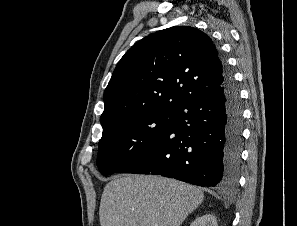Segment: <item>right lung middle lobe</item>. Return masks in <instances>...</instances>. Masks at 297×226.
<instances>
[{"label":"right lung middle lobe","instance_id":"1","mask_svg":"<svg viewBox=\"0 0 297 226\" xmlns=\"http://www.w3.org/2000/svg\"><path fill=\"white\" fill-rule=\"evenodd\" d=\"M175 118L176 111H151L104 128L98 144L99 171L104 176L118 172L163 135Z\"/></svg>","mask_w":297,"mask_h":226}]
</instances>
